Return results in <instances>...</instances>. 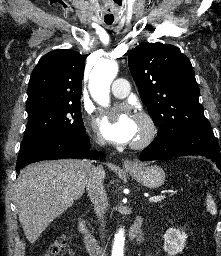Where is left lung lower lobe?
Masks as SVG:
<instances>
[{
	"instance_id": "1",
	"label": "left lung lower lobe",
	"mask_w": 221,
	"mask_h": 256,
	"mask_svg": "<svg viewBox=\"0 0 221 256\" xmlns=\"http://www.w3.org/2000/svg\"><path fill=\"white\" fill-rule=\"evenodd\" d=\"M186 155L205 156L221 170L220 149L209 122L200 126H177L167 133L158 134L139 159L160 160Z\"/></svg>"
}]
</instances>
